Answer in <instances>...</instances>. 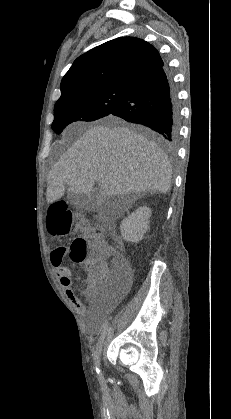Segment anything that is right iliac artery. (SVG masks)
Here are the masks:
<instances>
[{
	"instance_id": "obj_1",
	"label": "right iliac artery",
	"mask_w": 231,
	"mask_h": 419,
	"mask_svg": "<svg viewBox=\"0 0 231 419\" xmlns=\"http://www.w3.org/2000/svg\"><path fill=\"white\" fill-rule=\"evenodd\" d=\"M107 331H108V321H106L104 324H103V330H102V333H101V336H100V338H99V341H101V340H103L104 338H105V336H106V334H107ZM96 372L99 374V372H100V370L96 367Z\"/></svg>"
}]
</instances>
